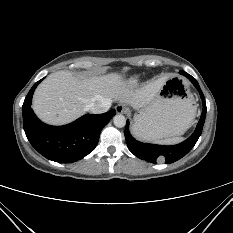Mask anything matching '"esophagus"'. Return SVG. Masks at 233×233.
<instances>
[{
    "label": "esophagus",
    "mask_w": 233,
    "mask_h": 233,
    "mask_svg": "<svg viewBox=\"0 0 233 233\" xmlns=\"http://www.w3.org/2000/svg\"><path fill=\"white\" fill-rule=\"evenodd\" d=\"M115 110L118 114H126L128 112V108L123 104L116 105Z\"/></svg>",
    "instance_id": "34e87169"
}]
</instances>
